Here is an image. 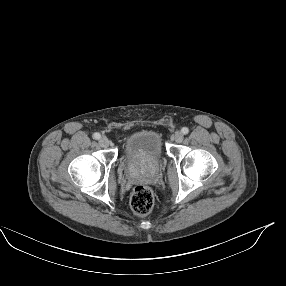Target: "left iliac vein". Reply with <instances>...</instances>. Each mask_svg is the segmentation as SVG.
<instances>
[{
    "label": "left iliac vein",
    "instance_id": "obj_1",
    "mask_svg": "<svg viewBox=\"0 0 286 286\" xmlns=\"http://www.w3.org/2000/svg\"><path fill=\"white\" fill-rule=\"evenodd\" d=\"M184 139V135L181 131H176L173 135V140L176 142V143H180L182 142Z\"/></svg>",
    "mask_w": 286,
    "mask_h": 286
}]
</instances>
